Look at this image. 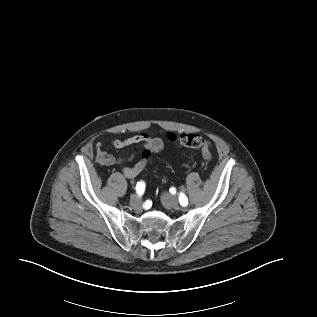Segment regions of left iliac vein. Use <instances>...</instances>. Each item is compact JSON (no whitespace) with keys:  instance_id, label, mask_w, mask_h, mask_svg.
I'll return each mask as SVG.
<instances>
[{"instance_id":"left-iliac-vein-1","label":"left iliac vein","mask_w":317,"mask_h":317,"mask_svg":"<svg viewBox=\"0 0 317 317\" xmlns=\"http://www.w3.org/2000/svg\"><path fill=\"white\" fill-rule=\"evenodd\" d=\"M161 201L164 207L171 209L177 208L179 205L178 198L174 195H171L167 192H164L161 196Z\"/></svg>"}]
</instances>
